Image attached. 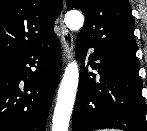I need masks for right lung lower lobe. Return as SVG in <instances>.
I'll use <instances>...</instances> for the list:
<instances>
[{"label":"right lung lower lobe","instance_id":"obj_1","mask_svg":"<svg viewBox=\"0 0 147 131\" xmlns=\"http://www.w3.org/2000/svg\"><path fill=\"white\" fill-rule=\"evenodd\" d=\"M60 70L57 36L0 61V131H45Z\"/></svg>","mask_w":147,"mask_h":131}]
</instances>
